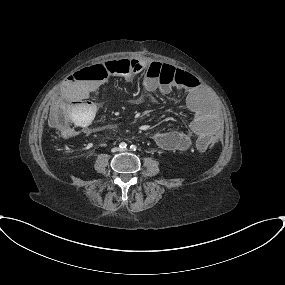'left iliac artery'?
I'll return each mask as SVG.
<instances>
[{"label": "left iliac artery", "instance_id": "obj_1", "mask_svg": "<svg viewBox=\"0 0 285 285\" xmlns=\"http://www.w3.org/2000/svg\"><path fill=\"white\" fill-rule=\"evenodd\" d=\"M130 149H131L132 151H136L137 147L132 144V145L130 146Z\"/></svg>", "mask_w": 285, "mask_h": 285}]
</instances>
